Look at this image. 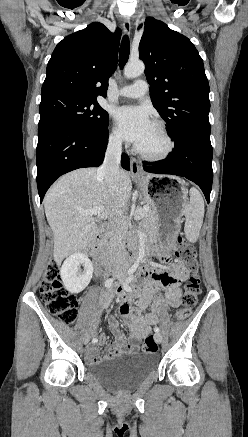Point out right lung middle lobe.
Masks as SVG:
<instances>
[{
  "label": "right lung middle lobe",
  "instance_id": "obj_1",
  "mask_svg": "<svg viewBox=\"0 0 248 437\" xmlns=\"http://www.w3.org/2000/svg\"><path fill=\"white\" fill-rule=\"evenodd\" d=\"M39 124L61 121L89 132H103L108 128L109 115L96 102L68 94L42 97Z\"/></svg>",
  "mask_w": 248,
  "mask_h": 437
}]
</instances>
